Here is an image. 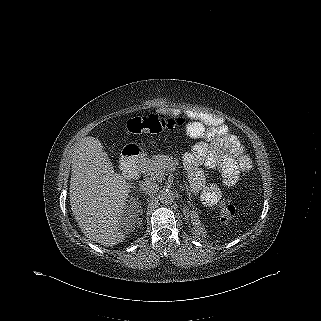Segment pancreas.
I'll return each mask as SVG.
<instances>
[{
    "mask_svg": "<svg viewBox=\"0 0 321 321\" xmlns=\"http://www.w3.org/2000/svg\"><path fill=\"white\" fill-rule=\"evenodd\" d=\"M175 162V160L166 156H156L151 162L146 165L145 173L153 178L161 179L167 169L172 167ZM190 206L195 209L194 204L190 203ZM192 213L196 214L194 211Z\"/></svg>",
    "mask_w": 321,
    "mask_h": 321,
    "instance_id": "obj_1",
    "label": "pancreas"
}]
</instances>
